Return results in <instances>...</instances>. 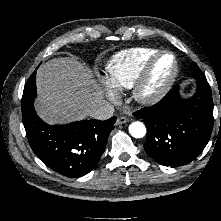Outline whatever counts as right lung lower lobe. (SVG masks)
Here are the masks:
<instances>
[{"instance_id": "right-lung-lower-lobe-1", "label": "right lung lower lobe", "mask_w": 221, "mask_h": 221, "mask_svg": "<svg viewBox=\"0 0 221 221\" xmlns=\"http://www.w3.org/2000/svg\"><path fill=\"white\" fill-rule=\"evenodd\" d=\"M35 77L36 71L29 77L22 96L23 124L33 152L62 175L80 177L87 174L103 154L116 117L50 126L37 116L33 107Z\"/></svg>"}]
</instances>
